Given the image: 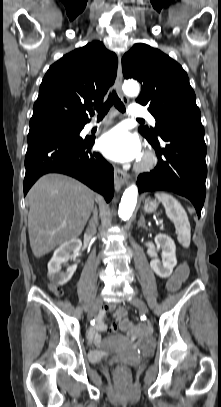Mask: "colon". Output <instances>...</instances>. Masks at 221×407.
Listing matches in <instances>:
<instances>
[{
  "instance_id": "1",
  "label": "colon",
  "mask_w": 221,
  "mask_h": 407,
  "mask_svg": "<svg viewBox=\"0 0 221 407\" xmlns=\"http://www.w3.org/2000/svg\"><path fill=\"white\" fill-rule=\"evenodd\" d=\"M190 273V266L186 261H183L181 265H176L173 275L169 276V282L166 283L167 291H178L181 284H187L188 274ZM57 296H61L63 291H53ZM116 319L118 321L119 330H130V337L132 340L136 341L144 335V330L142 328H133V323L131 322L128 311L125 305L116 306ZM116 379L120 384L127 383L129 379V369L125 366H118L115 370Z\"/></svg>"
}]
</instances>
